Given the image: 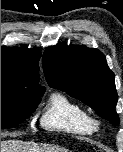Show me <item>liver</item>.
Returning a JSON list of instances; mask_svg holds the SVG:
<instances>
[{
	"label": "liver",
	"mask_w": 123,
	"mask_h": 152,
	"mask_svg": "<svg viewBox=\"0 0 123 152\" xmlns=\"http://www.w3.org/2000/svg\"><path fill=\"white\" fill-rule=\"evenodd\" d=\"M1 152H68V150L56 146L38 145L33 142L7 140L1 141Z\"/></svg>",
	"instance_id": "obj_1"
}]
</instances>
